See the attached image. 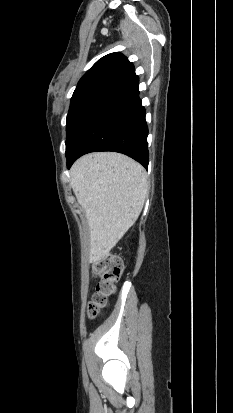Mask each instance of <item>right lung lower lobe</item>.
Segmentation results:
<instances>
[{
  "mask_svg": "<svg viewBox=\"0 0 233 413\" xmlns=\"http://www.w3.org/2000/svg\"><path fill=\"white\" fill-rule=\"evenodd\" d=\"M138 84L134 69L115 81L90 114L66 156L68 168L86 153L115 151L130 156L147 169L148 128Z\"/></svg>",
  "mask_w": 233,
  "mask_h": 413,
  "instance_id": "1",
  "label": "right lung lower lobe"
}]
</instances>
